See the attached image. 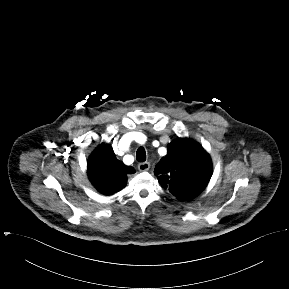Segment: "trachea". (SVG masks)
Returning a JSON list of instances; mask_svg holds the SVG:
<instances>
[{
    "label": "trachea",
    "mask_w": 289,
    "mask_h": 289,
    "mask_svg": "<svg viewBox=\"0 0 289 289\" xmlns=\"http://www.w3.org/2000/svg\"><path fill=\"white\" fill-rule=\"evenodd\" d=\"M136 158L139 162H144L146 160V152L143 147H140L136 152Z\"/></svg>",
    "instance_id": "3493384b"
}]
</instances>
